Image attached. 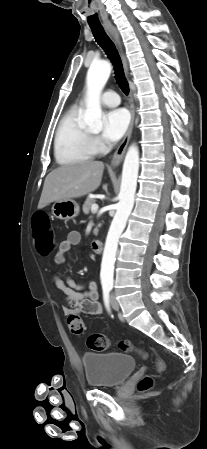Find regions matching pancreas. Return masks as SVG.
Returning a JSON list of instances; mask_svg holds the SVG:
<instances>
[{
  "instance_id": "pancreas-1",
  "label": "pancreas",
  "mask_w": 207,
  "mask_h": 449,
  "mask_svg": "<svg viewBox=\"0 0 207 449\" xmlns=\"http://www.w3.org/2000/svg\"><path fill=\"white\" fill-rule=\"evenodd\" d=\"M95 202L96 201L93 198L86 199V201L84 202L83 207H82L84 214H89L91 207L93 204H95ZM100 226H101V224L98 225V227H100ZM97 233H98V228H95L94 234L97 235Z\"/></svg>"
}]
</instances>
